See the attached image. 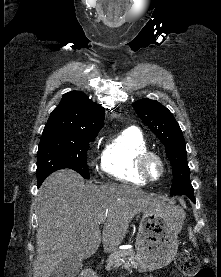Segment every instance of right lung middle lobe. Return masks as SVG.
<instances>
[{"label": "right lung middle lobe", "mask_w": 221, "mask_h": 277, "mask_svg": "<svg viewBox=\"0 0 221 277\" xmlns=\"http://www.w3.org/2000/svg\"><path fill=\"white\" fill-rule=\"evenodd\" d=\"M98 131L43 132L37 154V181L41 182L52 172L69 168L88 179L87 151Z\"/></svg>", "instance_id": "dd1d6c3e"}]
</instances>
